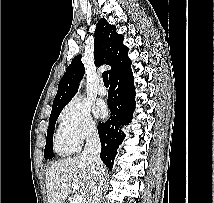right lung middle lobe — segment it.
<instances>
[{
	"label": "right lung middle lobe",
	"instance_id": "obj_1",
	"mask_svg": "<svg viewBox=\"0 0 214 203\" xmlns=\"http://www.w3.org/2000/svg\"><path fill=\"white\" fill-rule=\"evenodd\" d=\"M61 111L62 110L50 115L49 126H48V130H47L46 146H45V150H44V157L46 159H51L54 156V154H53V132H54L56 120Z\"/></svg>",
	"mask_w": 214,
	"mask_h": 203
}]
</instances>
